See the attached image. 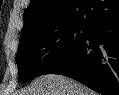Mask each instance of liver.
<instances>
[{
    "instance_id": "obj_1",
    "label": "liver",
    "mask_w": 119,
    "mask_h": 95,
    "mask_svg": "<svg viewBox=\"0 0 119 95\" xmlns=\"http://www.w3.org/2000/svg\"><path fill=\"white\" fill-rule=\"evenodd\" d=\"M16 95H97L79 82L58 74L42 75Z\"/></svg>"
}]
</instances>
